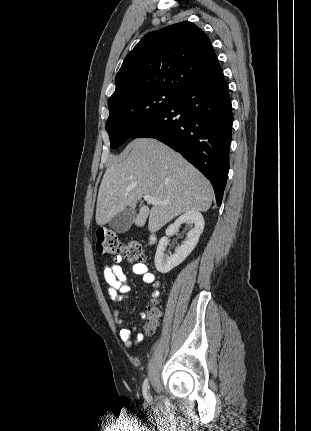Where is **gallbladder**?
<instances>
[{
	"label": "gallbladder",
	"mask_w": 311,
	"mask_h": 431,
	"mask_svg": "<svg viewBox=\"0 0 311 431\" xmlns=\"http://www.w3.org/2000/svg\"><path fill=\"white\" fill-rule=\"evenodd\" d=\"M136 216V210L128 208L124 212H120L117 216L112 217L109 221V227H112L116 233H125L130 229Z\"/></svg>",
	"instance_id": "obj_1"
}]
</instances>
